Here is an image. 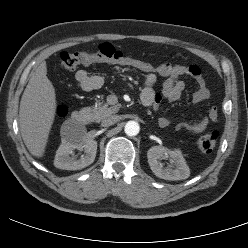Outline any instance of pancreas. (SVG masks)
<instances>
[{
	"mask_svg": "<svg viewBox=\"0 0 248 248\" xmlns=\"http://www.w3.org/2000/svg\"><path fill=\"white\" fill-rule=\"evenodd\" d=\"M120 107V104L109 107L108 103L99 102L95 107L90 108L89 110L92 112L93 120L99 121L107 116L117 113Z\"/></svg>",
	"mask_w": 248,
	"mask_h": 248,
	"instance_id": "cf45deb5",
	"label": "pancreas"
}]
</instances>
